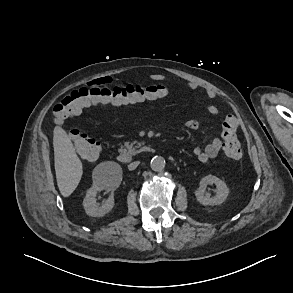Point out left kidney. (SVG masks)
Here are the masks:
<instances>
[{"instance_id": "left-kidney-1", "label": "left kidney", "mask_w": 293, "mask_h": 293, "mask_svg": "<svg viewBox=\"0 0 293 293\" xmlns=\"http://www.w3.org/2000/svg\"><path fill=\"white\" fill-rule=\"evenodd\" d=\"M216 185V195L211 197L206 192L207 185ZM229 195V188L226 183L213 175L203 177L199 183V188L195 191L197 201L204 206H214L222 204Z\"/></svg>"}]
</instances>
